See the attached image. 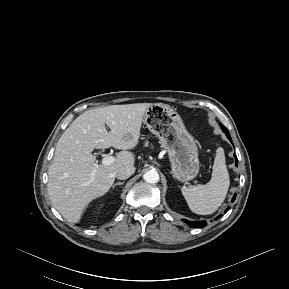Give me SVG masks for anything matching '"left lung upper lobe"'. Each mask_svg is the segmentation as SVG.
Masks as SVG:
<instances>
[{
	"mask_svg": "<svg viewBox=\"0 0 289 289\" xmlns=\"http://www.w3.org/2000/svg\"><path fill=\"white\" fill-rule=\"evenodd\" d=\"M220 126H221V128H222V130H223L224 133H225V132H228V130L226 129V127H225L224 125L220 124Z\"/></svg>",
	"mask_w": 289,
	"mask_h": 289,
	"instance_id": "5c2ea615",
	"label": "left lung upper lobe"
}]
</instances>
